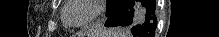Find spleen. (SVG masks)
Segmentation results:
<instances>
[{"label": "spleen", "mask_w": 219, "mask_h": 37, "mask_svg": "<svg viewBox=\"0 0 219 37\" xmlns=\"http://www.w3.org/2000/svg\"><path fill=\"white\" fill-rule=\"evenodd\" d=\"M129 30L126 28L121 29H110L107 33V37H127Z\"/></svg>", "instance_id": "1"}]
</instances>
